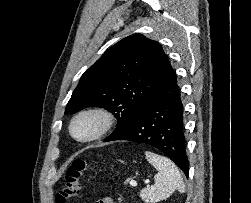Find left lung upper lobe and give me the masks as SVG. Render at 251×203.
Wrapping results in <instances>:
<instances>
[{"instance_id":"obj_1","label":"left lung upper lobe","mask_w":251,"mask_h":203,"mask_svg":"<svg viewBox=\"0 0 251 203\" xmlns=\"http://www.w3.org/2000/svg\"><path fill=\"white\" fill-rule=\"evenodd\" d=\"M171 65L161 45L141 34L110 47L82 75L65 113L89 106L102 107L118 120L104 141L123 132L153 96Z\"/></svg>"}]
</instances>
